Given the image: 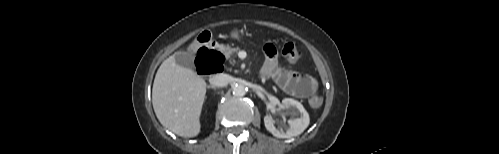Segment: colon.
<instances>
[{
	"instance_id": "1",
	"label": "colon",
	"mask_w": 499,
	"mask_h": 154,
	"mask_svg": "<svg viewBox=\"0 0 499 154\" xmlns=\"http://www.w3.org/2000/svg\"><path fill=\"white\" fill-rule=\"evenodd\" d=\"M211 40V35L209 32L204 31L199 33L195 37V42L197 44H207ZM281 53L283 57L289 62H297L301 57L300 48L288 39H283ZM213 67L215 72L220 71L224 64V57L219 52L212 51ZM309 104L317 108L322 104V98L319 95H312L309 99Z\"/></svg>"
}]
</instances>
